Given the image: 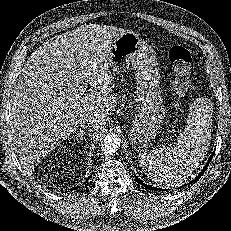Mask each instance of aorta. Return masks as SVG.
<instances>
[{
	"mask_svg": "<svg viewBox=\"0 0 231 231\" xmlns=\"http://www.w3.org/2000/svg\"><path fill=\"white\" fill-rule=\"evenodd\" d=\"M120 139L115 134L107 135L101 142V150L104 154L112 155L120 147Z\"/></svg>",
	"mask_w": 231,
	"mask_h": 231,
	"instance_id": "1",
	"label": "aorta"
}]
</instances>
